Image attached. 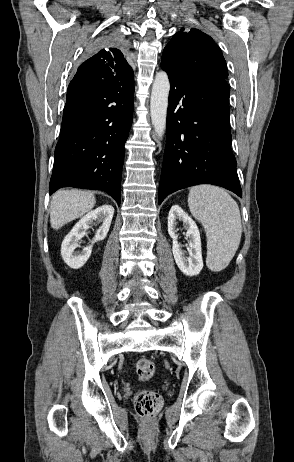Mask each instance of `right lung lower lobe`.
Here are the masks:
<instances>
[{
  "label": "right lung lower lobe",
  "instance_id": "98d812e1",
  "mask_svg": "<svg viewBox=\"0 0 294 462\" xmlns=\"http://www.w3.org/2000/svg\"><path fill=\"white\" fill-rule=\"evenodd\" d=\"M134 75L113 87L67 94L50 195L62 187L104 190L120 205L124 144L133 120Z\"/></svg>",
  "mask_w": 294,
  "mask_h": 462
}]
</instances>
